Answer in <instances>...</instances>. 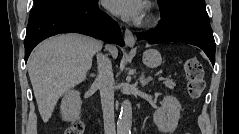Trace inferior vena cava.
<instances>
[{"label":"inferior vena cava","mask_w":239,"mask_h":134,"mask_svg":"<svg viewBox=\"0 0 239 134\" xmlns=\"http://www.w3.org/2000/svg\"><path fill=\"white\" fill-rule=\"evenodd\" d=\"M98 76L96 82L99 86L104 119L105 134H116L114 122V77L110 59L97 54Z\"/></svg>","instance_id":"obj_1"}]
</instances>
